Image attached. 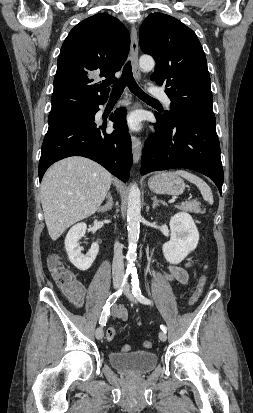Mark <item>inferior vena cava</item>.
Here are the masks:
<instances>
[{"label": "inferior vena cava", "instance_id": "1", "mask_svg": "<svg viewBox=\"0 0 253 413\" xmlns=\"http://www.w3.org/2000/svg\"><path fill=\"white\" fill-rule=\"evenodd\" d=\"M112 273H113V276H117V277H122L124 275L122 247L119 244V242H115V245H114Z\"/></svg>", "mask_w": 253, "mask_h": 413}]
</instances>
